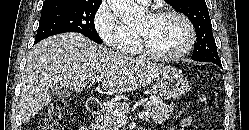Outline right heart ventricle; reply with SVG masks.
Listing matches in <instances>:
<instances>
[{"instance_id": "right-heart-ventricle-1", "label": "right heart ventricle", "mask_w": 249, "mask_h": 130, "mask_svg": "<svg viewBox=\"0 0 249 130\" xmlns=\"http://www.w3.org/2000/svg\"><path fill=\"white\" fill-rule=\"evenodd\" d=\"M127 52L131 54L141 53L139 42H138V37H137L136 31L134 30H132V38H131Z\"/></svg>"}]
</instances>
